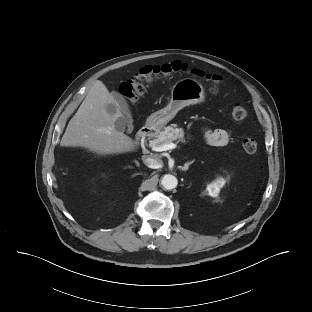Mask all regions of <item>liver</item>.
Here are the masks:
<instances>
[{"instance_id":"liver-1","label":"liver","mask_w":312,"mask_h":312,"mask_svg":"<svg viewBox=\"0 0 312 312\" xmlns=\"http://www.w3.org/2000/svg\"><path fill=\"white\" fill-rule=\"evenodd\" d=\"M108 104L117 103L104 83L96 81L69 121L60 145L82 147L98 155L135 151V142L116 128L115 123L123 117L122 113L117 110L116 114H109Z\"/></svg>"}]
</instances>
